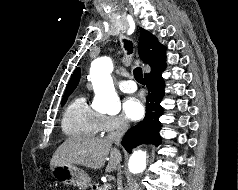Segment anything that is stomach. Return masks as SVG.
Instances as JSON below:
<instances>
[{
  "label": "stomach",
  "instance_id": "1",
  "mask_svg": "<svg viewBox=\"0 0 238 190\" xmlns=\"http://www.w3.org/2000/svg\"><path fill=\"white\" fill-rule=\"evenodd\" d=\"M53 177L62 184L73 185L82 190L91 186V179L82 169L74 165H58L52 169Z\"/></svg>",
  "mask_w": 238,
  "mask_h": 190
}]
</instances>
